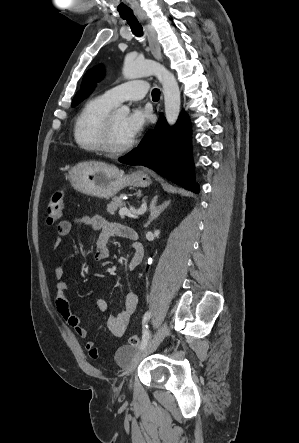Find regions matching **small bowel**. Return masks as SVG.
I'll return each instance as SVG.
<instances>
[{
    "label": "small bowel",
    "mask_w": 299,
    "mask_h": 443,
    "mask_svg": "<svg viewBox=\"0 0 299 443\" xmlns=\"http://www.w3.org/2000/svg\"><path fill=\"white\" fill-rule=\"evenodd\" d=\"M76 223L83 225L86 228H90L94 231H98V238L96 241L95 259L106 260L110 257V251L108 248L109 238L112 235H118L123 238H129L128 233L131 230L130 227L119 223H111L100 215H83L75 219ZM72 230V222L64 220L57 226V237L54 242V249L57 250L61 243L62 238L68 236ZM130 239V238H129ZM143 257L142 253L135 251V253L128 260V268L130 270L135 269L141 262ZM54 275L56 278V299L55 304L57 311L62 318L74 329L75 333L80 338L88 337V330L82 324V318L79 314L72 312L69 301L65 295L67 290V282L65 279V268L62 264H56L54 268ZM138 305V295L134 291H128L124 295L123 308L115 313H110L104 317L105 325L110 334L116 338H121L127 331L129 326L130 317L135 312ZM96 306L100 312H105L107 309V303L102 299L96 300ZM86 349L88 354L93 359L101 358V352L97 348L94 341H87Z\"/></svg>",
    "instance_id": "1"
}]
</instances>
